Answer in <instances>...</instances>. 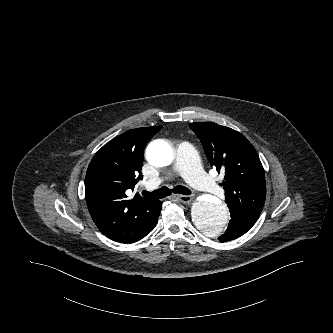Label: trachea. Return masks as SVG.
Here are the masks:
<instances>
[{
    "label": "trachea",
    "instance_id": "1",
    "mask_svg": "<svg viewBox=\"0 0 333 333\" xmlns=\"http://www.w3.org/2000/svg\"><path fill=\"white\" fill-rule=\"evenodd\" d=\"M172 192L183 195L191 194V191L184 186H176L172 190L164 186L153 192L142 191V195L149 198L160 199L171 195Z\"/></svg>",
    "mask_w": 333,
    "mask_h": 333
}]
</instances>
